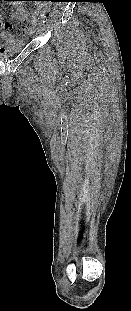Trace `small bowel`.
<instances>
[{
  "label": "small bowel",
  "instance_id": "1",
  "mask_svg": "<svg viewBox=\"0 0 131 311\" xmlns=\"http://www.w3.org/2000/svg\"><path fill=\"white\" fill-rule=\"evenodd\" d=\"M8 26H2L0 23V40H10L12 35L11 33L7 30Z\"/></svg>",
  "mask_w": 131,
  "mask_h": 311
}]
</instances>
